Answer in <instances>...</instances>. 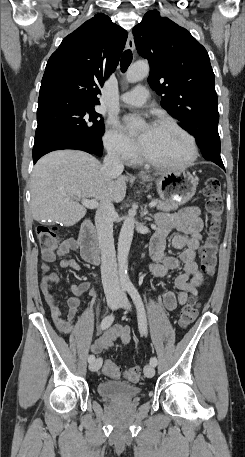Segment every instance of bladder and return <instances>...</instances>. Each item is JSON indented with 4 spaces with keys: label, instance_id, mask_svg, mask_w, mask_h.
Segmentation results:
<instances>
[{
    "label": "bladder",
    "instance_id": "obj_1",
    "mask_svg": "<svg viewBox=\"0 0 245 457\" xmlns=\"http://www.w3.org/2000/svg\"><path fill=\"white\" fill-rule=\"evenodd\" d=\"M99 396L136 397L139 389L122 381H106L98 385Z\"/></svg>",
    "mask_w": 245,
    "mask_h": 457
}]
</instances>
